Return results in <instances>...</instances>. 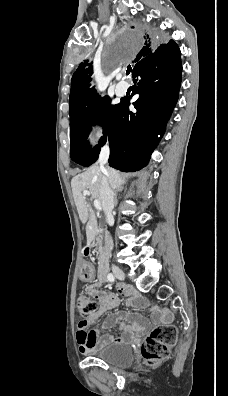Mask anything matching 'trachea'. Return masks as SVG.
I'll use <instances>...</instances> for the list:
<instances>
[{"label": "trachea", "instance_id": "trachea-1", "mask_svg": "<svg viewBox=\"0 0 228 396\" xmlns=\"http://www.w3.org/2000/svg\"><path fill=\"white\" fill-rule=\"evenodd\" d=\"M130 72H131V69L126 70L127 75L130 74Z\"/></svg>", "mask_w": 228, "mask_h": 396}]
</instances>
